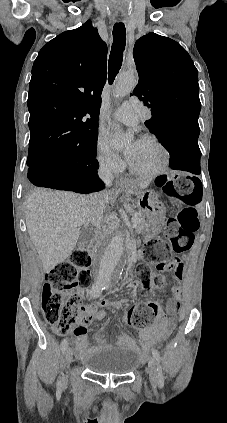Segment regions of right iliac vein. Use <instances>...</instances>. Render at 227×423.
<instances>
[{
  "label": "right iliac vein",
  "instance_id": "right-iliac-vein-1",
  "mask_svg": "<svg viewBox=\"0 0 227 423\" xmlns=\"http://www.w3.org/2000/svg\"><path fill=\"white\" fill-rule=\"evenodd\" d=\"M73 360V350L71 347H69L66 351V365L67 368H69L70 364L72 363Z\"/></svg>",
  "mask_w": 227,
  "mask_h": 423
}]
</instances>
